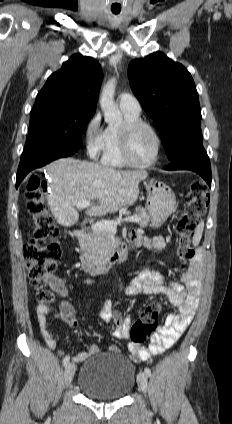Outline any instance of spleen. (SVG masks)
Returning <instances> with one entry per match:
<instances>
[{
  "instance_id": "3e777b00",
  "label": "spleen",
  "mask_w": 232,
  "mask_h": 424,
  "mask_svg": "<svg viewBox=\"0 0 232 424\" xmlns=\"http://www.w3.org/2000/svg\"><path fill=\"white\" fill-rule=\"evenodd\" d=\"M204 229V221H201L195 229V233L192 239V243L194 246H197L201 240L202 233Z\"/></svg>"
}]
</instances>
